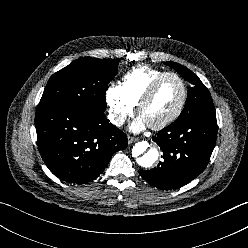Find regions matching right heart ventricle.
Segmentation results:
<instances>
[{
  "label": "right heart ventricle",
  "mask_w": 248,
  "mask_h": 248,
  "mask_svg": "<svg viewBox=\"0 0 248 248\" xmlns=\"http://www.w3.org/2000/svg\"><path fill=\"white\" fill-rule=\"evenodd\" d=\"M164 72L147 65L133 67L122 77L121 88L127 98L137 105L151 82Z\"/></svg>",
  "instance_id": "e07e8e85"
}]
</instances>
